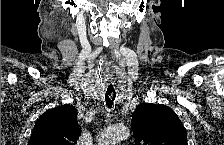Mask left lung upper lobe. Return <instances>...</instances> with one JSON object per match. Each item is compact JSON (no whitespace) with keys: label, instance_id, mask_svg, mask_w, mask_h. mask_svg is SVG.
Returning a JSON list of instances; mask_svg holds the SVG:
<instances>
[{"label":"left lung upper lobe","instance_id":"5c2ea615","mask_svg":"<svg viewBox=\"0 0 224 145\" xmlns=\"http://www.w3.org/2000/svg\"><path fill=\"white\" fill-rule=\"evenodd\" d=\"M131 126L137 145H188L182 122L165 105H139L132 116Z\"/></svg>","mask_w":224,"mask_h":145}]
</instances>
